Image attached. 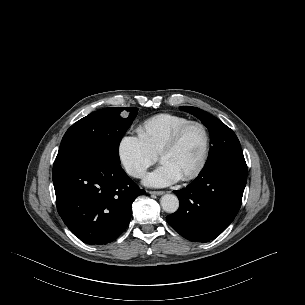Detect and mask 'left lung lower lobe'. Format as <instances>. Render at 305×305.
<instances>
[{
	"label": "left lung lower lobe",
	"mask_w": 305,
	"mask_h": 305,
	"mask_svg": "<svg viewBox=\"0 0 305 305\" xmlns=\"http://www.w3.org/2000/svg\"><path fill=\"white\" fill-rule=\"evenodd\" d=\"M247 181L242 151L230 153L204 167L186 188L174 191L179 209L166 217L169 225L190 241L218 237L238 213Z\"/></svg>",
	"instance_id": "1"
}]
</instances>
